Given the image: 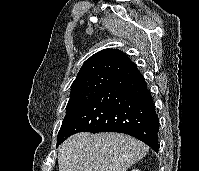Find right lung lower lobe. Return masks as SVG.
I'll list each match as a JSON object with an SVG mask.
<instances>
[{"label": "right lung lower lobe", "instance_id": "right-lung-lower-lobe-1", "mask_svg": "<svg viewBox=\"0 0 199 171\" xmlns=\"http://www.w3.org/2000/svg\"><path fill=\"white\" fill-rule=\"evenodd\" d=\"M159 120L143 75L136 66L98 90L67 127L62 143L77 132H120L158 152Z\"/></svg>", "mask_w": 199, "mask_h": 171}]
</instances>
